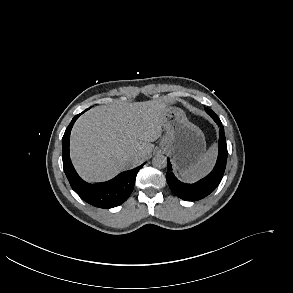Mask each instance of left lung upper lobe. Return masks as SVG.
<instances>
[{"mask_svg": "<svg viewBox=\"0 0 293 293\" xmlns=\"http://www.w3.org/2000/svg\"><path fill=\"white\" fill-rule=\"evenodd\" d=\"M206 112L213 118L216 117L217 115L214 113V111L206 109Z\"/></svg>", "mask_w": 293, "mask_h": 293, "instance_id": "5c2ea615", "label": "left lung upper lobe"}]
</instances>
